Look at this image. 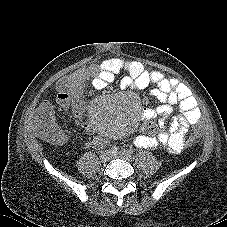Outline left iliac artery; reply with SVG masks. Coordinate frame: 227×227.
I'll use <instances>...</instances> for the list:
<instances>
[{
    "label": "left iliac artery",
    "mask_w": 227,
    "mask_h": 227,
    "mask_svg": "<svg viewBox=\"0 0 227 227\" xmlns=\"http://www.w3.org/2000/svg\"><path fill=\"white\" fill-rule=\"evenodd\" d=\"M126 152H127L128 154H130V155H132V154H133V151H132V150H130V149H127V150H126Z\"/></svg>",
    "instance_id": "left-iliac-artery-1"
}]
</instances>
